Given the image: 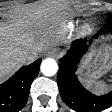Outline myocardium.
I'll list each match as a JSON object with an SVG mask.
<instances>
[{
	"instance_id": "f54148a6",
	"label": "myocardium",
	"mask_w": 112,
	"mask_h": 112,
	"mask_svg": "<svg viewBox=\"0 0 112 112\" xmlns=\"http://www.w3.org/2000/svg\"><path fill=\"white\" fill-rule=\"evenodd\" d=\"M91 30H92V26L89 23H86L81 27V32L84 34L91 32Z\"/></svg>"
}]
</instances>
